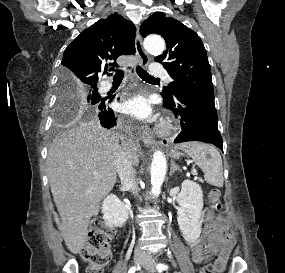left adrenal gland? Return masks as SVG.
<instances>
[{
    "mask_svg": "<svg viewBox=\"0 0 285 273\" xmlns=\"http://www.w3.org/2000/svg\"><path fill=\"white\" fill-rule=\"evenodd\" d=\"M176 170L181 171L180 167L172 161V162H171V166H170V176H171Z\"/></svg>",
    "mask_w": 285,
    "mask_h": 273,
    "instance_id": "a2214340",
    "label": "left adrenal gland"
}]
</instances>
